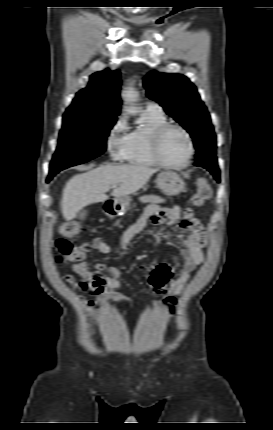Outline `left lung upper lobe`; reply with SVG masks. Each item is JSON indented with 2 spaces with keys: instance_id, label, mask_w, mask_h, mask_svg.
<instances>
[{
  "instance_id": "1",
  "label": "left lung upper lobe",
  "mask_w": 273,
  "mask_h": 430,
  "mask_svg": "<svg viewBox=\"0 0 273 430\" xmlns=\"http://www.w3.org/2000/svg\"><path fill=\"white\" fill-rule=\"evenodd\" d=\"M147 96L158 102L192 136L196 159L214 156L216 141L211 118L196 87L181 74L152 71L144 80Z\"/></svg>"
}]
</instances>
